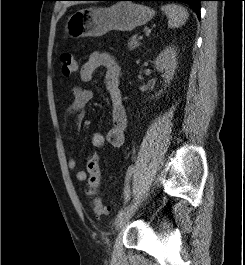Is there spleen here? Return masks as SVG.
Segmentation results:
<instances>
[{"label":"spleen","instance_id":"3e777b00","mask_svg":"<svg viewBox=\"0 0 245 265\" xmlns=\"http://www.w3.org/2000/svg\"><path fill=\"white\" fill-rule=\"evenodd\" d=\"M161 9L167 15L168 26L171 28L182 26L189 16L187 10L180 5L168 4Z\"/></svg>","mask_w":245,"mask_h":265}]
</instances>
